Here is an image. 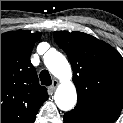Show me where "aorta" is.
Here are the masks:
<instances>
[{
  "label": "aorta",
  "mask_w": 123,
  "mask_h": 123,
  "mask_svg": "<svg viewBox=\"0 0 123 123\" xmlns=\"http://www.w3.org/2000/svg\"><path fill=\"white\" fill-rule=\"evenodd\" d=\"M44 63L61 81L54 95L57 107L63 111L73 109L77 102V93L72 83V69L66 57L55 49H50L44 55Z\"/></svg>",
  "instance_id": "1"
}]
</instances>
